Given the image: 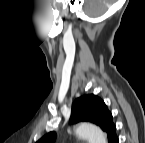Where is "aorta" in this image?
Returning a JSON list of instances; mask_svg holds the SVG:
<instances>
[{"label":"aorta","instance_id":"1","mask_svg":"<svg viewBox=\"0 0 145 143\" xmlns=\"http://www.w3.org/2000/svg\"><path fill=\"white\" fill-rule=\"evenodd\" d=\"M77 136L87 139L89 143H107L106 135L103 131L92 124L81 123L75 129Z\"/></svg>","mask_w":145,"mask_h":143}]
</instances>
